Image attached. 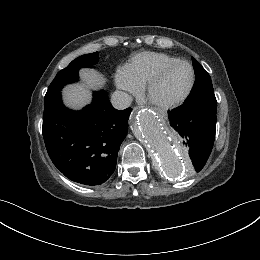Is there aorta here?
I'll use <instances>...</instances> for the list:
<instances>
[{"instance_id": "762f6f07", "label": "aorta", "mask_w": 260, "mask_h": 260, "mask_svg": "<svg viewBox=\"0 0 260 260\" xmlns=\"http://www.w3.org/2000/svg\"><path fill=\"white\" fill-rule=\"evenodd\" d=\"M132 130L154 155L166 176L176 178L189 170V164L179 148V139L167 131L155 114L148 110L138 112L132 120Z\"/></svg>"}]
</instances>
